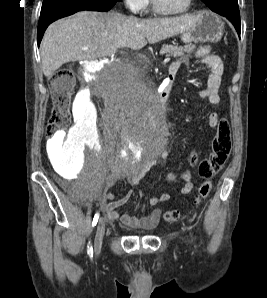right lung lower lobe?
Wrapping results in <instances>:
<instances>
[{
  "label": "right lung lower lobe",
  "instance_id": "1",
  "mask_svg": "<svg viewBox=\"0 0 267 298\" xmlns=\"http://www.w3.org/2000/svg\"><path fill=\"white\" fill-rule=\"evenodd\" d=\"M116 2L117 0H50L43 3L38 24V46L46 28L53 21L81 10L108 11Z\"/></svg>",
  "mask_w": 267,
  "mask_h": 298
}]
</instances>
